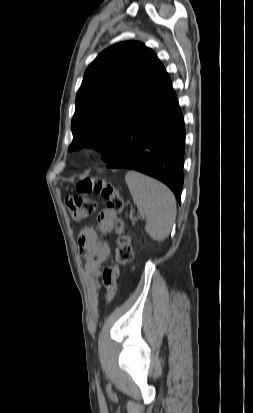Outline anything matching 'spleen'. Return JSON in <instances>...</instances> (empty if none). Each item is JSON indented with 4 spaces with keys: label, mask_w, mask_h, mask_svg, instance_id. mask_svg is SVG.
Here are the masks:
<instances>
[{
    "label": "spleen",
    "mask_w": 253,
    "mask_h": 413,
    "mask_svg": "<svg viewBox=\"0 0 253 413\" xmlns=\"http://www.w3.org/2000/svg\"><path fill=\"white\" fill-rule=\"evenodd\" d=\"M125 181L140 213L145 214V230L156 240L166 239L176 218V200L161 182L136 171H128Z\"/></svg>",
    "instance_id": "obj_1"
}]
</instances>
